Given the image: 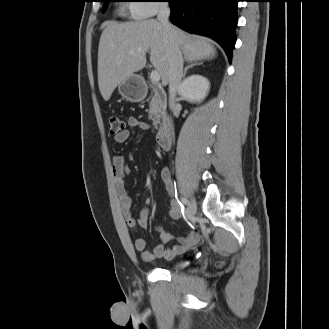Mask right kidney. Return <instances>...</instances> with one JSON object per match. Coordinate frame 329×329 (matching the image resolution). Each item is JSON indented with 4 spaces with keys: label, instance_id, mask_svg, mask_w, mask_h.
<instances>
[{
    "label": "right kidney",
    "instance_id": "obj_1",
    "mask_svg": "<svg viewBox=\"0 0 329 329\" xmlns=\"http://www.w3.org/2000/svg\"><path fill=\"white\" fill-rule=\"evenodd\" d=\"M210 83L205 77L194 74L183 80L179 94L189 102H201L208 94Z\"/></svg>",
    "mask_w": 329,
    "mask_h": 329
}]
</instances>
